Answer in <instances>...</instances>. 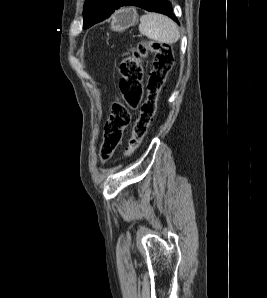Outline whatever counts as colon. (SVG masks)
Instances as JSON below:
<instances>
[{
	"label": "colon",
	"instance_id": "1",
	"mask_svg": "<svg viewBox=\"0 0 267 298\" xmlns=\"http://www.w3.org/2000/svg\"><path fill=\"white\" fill-rule=\"evenodd\" d=\"M151 56L153 68L147 83V95L141 103L143 95L142 79L144 62ZM174 62L173 52L169 44L162 42H139L131 53L123 59L119 66L121 73V90L124 103L128 107H138L140 115L134 126L125 154L130 157L141 145L146 136L158 104L159 94ZM130 113L127 107H116L105 124L100 144V158L107 162L119 145L123 132L129 123Z\"/></svg>",
	"mask_w": 267,
	"mask_h": 298
}]
</instances>
